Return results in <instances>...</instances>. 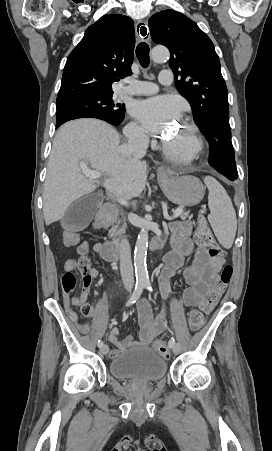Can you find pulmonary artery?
<instances>
[{"instance_id":"1","label":"pulmonary artery","mask_w":272,"mask_h":451,"mask_svg":"<svg viewBox=\"0 0 272 451\" xmlns=\"http://www.w3.org/2000/svg\"><path fill=\"white\" fill-rule=\"evenodd\" d=\"M159 82L164 85H169L172 82V72L170 70H163L158 76ZM158 87L154 83L147 82L145 79L135 80L133 85H127L124 93L128 95H151L156 93Z\"/></svg>"}]
</instances>
